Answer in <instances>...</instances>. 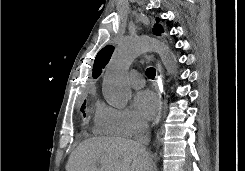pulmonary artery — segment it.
Returning a JSON list of instances; mask_svg holds the SVG:
<instances>
[{
    "instance_id": "obj_1",
    "label": "pulmonary artery",
    "mask_w": 245,
    "mask_h": 171,
    "mask_svg": "<svg viewBox=\"0 0 245 171\" xmlns=\"http://www.w3.org/2000/svg\"><path fill=\"white\" fill-rule=\"evenodd\" d=\"M128 80H129L130 85L136 89L142 88L144 85L143 77L137 71H131L128 74Z\"/></svg>"
}]
</instances>
